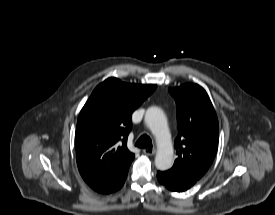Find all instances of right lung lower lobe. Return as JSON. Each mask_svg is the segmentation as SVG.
Returning a JSON list of instances; mask_svg holds the SVG:
<instances>
[{"label":"right lung lower lobe","instance_id":"98d812e1","mask_svg":"<svg viewBox=\"0 0 275 215\" xmlns=\"http://www.w3.org/2000/svg\"><path fill=\"white\" fill-rule=\"evenodd\" d=\"M126 177H127V173L118 179L107 181V182L92 186L91 188L99 193L108 194L119 190L123 186Z\"/></svg>","mask_w":275,"mask_h":215}]
</instances>
